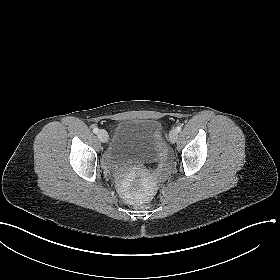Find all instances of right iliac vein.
I'll use <instances>...</instances> for the list:
<instances>
[{"instance_id":"right-iliac-vein-1","label":"right iliac vein","mask_w":280,"mask_h":280,"mask_svg":"<svg viewBox=\"0 0 280 280\" xmlns=\"http://www.w3.org/2000/svg\"><path fill=\"white\" fill-rule=\"evenodd\" d=\"M98 137L103 143L107 142L108 140V134L105 130H100L98 132Z\"/></svg>"}]
</instances>
